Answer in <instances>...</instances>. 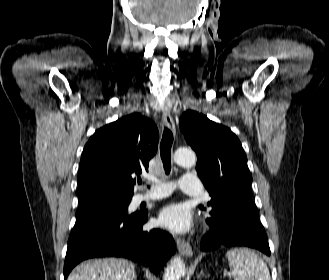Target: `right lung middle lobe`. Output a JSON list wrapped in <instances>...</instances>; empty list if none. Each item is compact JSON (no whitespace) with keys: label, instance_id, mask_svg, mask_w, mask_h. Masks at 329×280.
I'll return each mask as SVG.
<instances>
[{"label":"right lung middle lobe","instance_id":"right-lung-middle-lobe-1","mask_svg":"<svg viewBox=\"0 0 329 280\" xmlns=\"http://www.w3.org/2000/svg\"><path fill=\"white\" fill-rule=\"evenodd\" d=\"M130 197H91L79 200L78 217H81L97 208L112 206L119 209H127Z\"/></svg>","mask_w":329,"mask_h":280}]
</instances>
